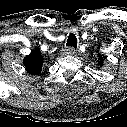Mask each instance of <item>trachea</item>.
Instances as JSON below:
<instances>
[{
    "label": "trachea",
    "mask_w": 127,
    "mask_h": 127,
    "mask_svg": "<svg viewBox=\"0 0 127 127\" xmlns=\"http://www.w3.org/2000/svg\"><path fill=\"white\" fill-rule=\"evenodd\" d=\"M66 46L73 47V48L77 47V38H76V36L73 33H71L68 36Z\"/></svg>",
    "instance_id": "3493384b"
}]
</instances>
